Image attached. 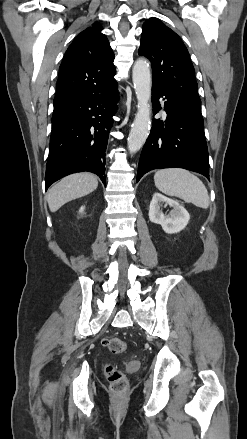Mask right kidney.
<instances>
[{
	"label": "right kidney",
	"instance_id": "1",
	"mask_svg": "<svg viewBox=\"0 0 247 439\" xmlns=\"http://www.w3.org/2000/svg\"><path fill=\"white\" fill-rule=\"evenodd\" d=\"M84 208H85V207L82 206V207L80 208L79 212L82 213V212L84 211Z\"/></svg>",
	"mask_w": 247,
	"mask_h": 439
}]
</instances>
